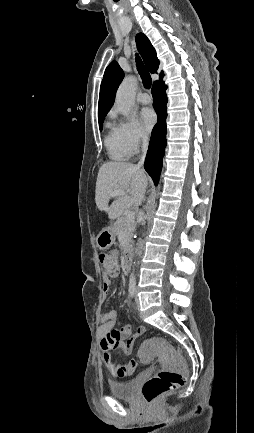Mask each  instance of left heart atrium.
Returning <instances> with one entry per match:
<instances>
[{"label": "left heart atrium", "mask_w": 254, "mask_h": 433, "mask_svg": "<svg viewBox=\"0 0 254 433\" xmlns=\"http://www.w3.org/2000/svg\"><path fill=\"white\" fill-rule=\"evenodd\" d=\"M142 126L146 131H150L156 122V117L153 111L150 109H143L141 111Z\"/></svg>", "instance_id": "obj_1"}]
</instances>
